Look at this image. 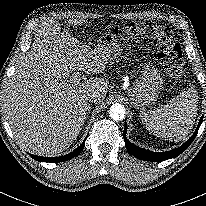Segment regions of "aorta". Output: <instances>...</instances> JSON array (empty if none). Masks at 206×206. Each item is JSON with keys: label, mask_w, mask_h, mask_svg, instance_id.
Here are the masks:
<instances>
[{"label": "aorta", "mask_w": 206, "mask_h": 206, "mask_svg": "<svg viewBox=\"0 0 206 206\" xmlns=\"http://www.w3.org/2000/svg\"><path fill=\"white\" fill-rule=\"evenodd\" d=\"M125 114H126V111H125L124 106L119 104V103L118 104H113L110 107L109 116L115 121H119V120L124 119Z\"/></svg>", "instance_id": "obj_1"}]
</instances>
